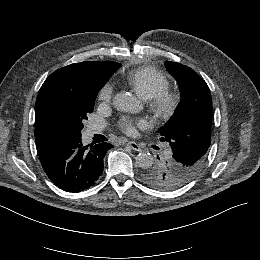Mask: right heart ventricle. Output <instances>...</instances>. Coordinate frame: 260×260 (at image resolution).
Segmentation results:
<instances>
[{"mask_svg": "<svg viewBox=\"0 0 260 260\" xmlns=\"http://www.w3.org/2000/svg\"><path fill=\"white\" fill-rule=\"evenodd\" d=\"M127 82L143 99H151L155 95L167 90L169 86L165 76L147 68L138 69L130 73L127 77Z\"/></svg>", "mask_w": 260, "mask_h": 260, "instance_id": "right-heart-ventricle-1", "label": "right heart ventricle"}]
</instances>
